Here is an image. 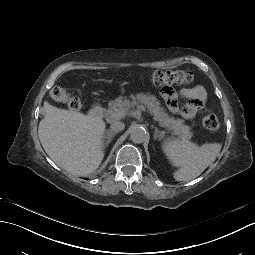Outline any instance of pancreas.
I'll return each mask as SVG.
<instances>
[{
    "instance_id": "1",
    "label": "pancreas",
    "mask_w": 255,
    "mask_h": 255,
    "mask_svg": "<svg viewBox=\"0 0 255 255\" xmlns=\"http://www.w3.org/2000/svg\"><path fill=\"white\" fill-rule=\"evenodd\" d=\"M132 101L119 96L114 101L109 102V107L105 111V117L113 120H119L123 118L126 113L133 107L139 104H144L154 115V119L159 122L160 126L166 127L173 132V134L180 137L190 139L192 133L190 127L184 125V120L170 117L162 107H160L159 101L155 96L140 93L137 95H131Z\"/></svg>"
}]
</instances>
